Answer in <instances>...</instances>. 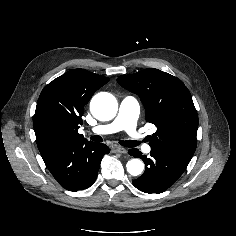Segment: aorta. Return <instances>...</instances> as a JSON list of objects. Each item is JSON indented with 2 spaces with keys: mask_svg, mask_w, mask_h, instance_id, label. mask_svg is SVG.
<instances>
[{
  "mask_svg": "<svg viewBox=\"0 0 236 236\" xmlns=\"http://www.w3.org/2000/svg\"><path fill=\"white\" fill-rule=\"evenodd\" d=\"M90 109L95 118L108 121L115 117L118 110V103L110 93H98L92 98ZM126 167L129 174L137 176L143 172L144 163L139 159H131L127 162Z\"/></svg>",
  "mask_w": 236,
  "mask_h": 236,
  "instance_id": "1",
  "label": "aorta"
}]
</instances>
